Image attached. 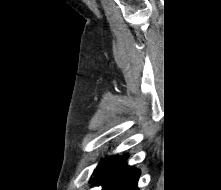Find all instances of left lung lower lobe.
I'll return each mask as SVG.
<instances>
[{
  "label": "left lung lower lobe",
  "instance_id": "obj_1",
  "mask_svg": "<svg viewBox=\"0 0 221 190\" xmlns=\"http://www.w3.org/2000/svg\"><path fill=\"white\" fill-rule=\"evenodd\" d=\"M127 155L103 159L94 170L92 184L103 190H138L140 170L127 166Z\"/></svg>",
  "mask_w": 221,
  "mask_h": 190
}]
</instances>
